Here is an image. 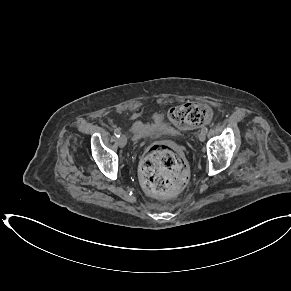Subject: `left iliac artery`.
<instances>
[{
    "label": "left iliac artery",
    "instance_id": "44dca946",
    "mask_svg": "<svg viewBox=\"0 0 291 291\" xmlns=\"http://www.w3.org/2000/svg\"><path fill=\"white\" fill-rule=\"evenodd\" d=\"M201 132L204 133V134H206L208 132V128L207 127H203L201 129Z\"/></svg>",
    "mask_w": 291,
    "mask_h": 291
}]
</instances>
